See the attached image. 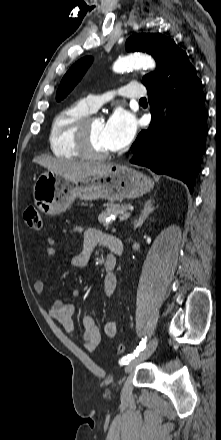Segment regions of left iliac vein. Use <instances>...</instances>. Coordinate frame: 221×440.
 I'll return each mask as SVG.
<instances>
[{
	"label": "left iliac vein",
	"instance_id": "left-iliac-vein-1",
	"mask_svg": "<svg viewBox=\"0 0 221 440\" xmlns=\"http://www.w3.org/2000/svg\"><path fill=\"white\" fill-rule=\"evenodd\" d=\"M157 343H158V339H157V337H154L149 342L147 347L141 352V354L135 360L130 361L125 366V372L126 373L131 372L135 368V366H137L140 362H142L145 359H147L148 357H150L152 355V353L155 351Z\"/></svg>",
	"mask_w": 221,
	"mask_h": 440
}]
</instances>
